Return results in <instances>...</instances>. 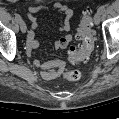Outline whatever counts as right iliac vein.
<instances>
[{
    "label": "right iliac vein",
    "mask_w": 119,
    "mask_h": 119,
    "mask_svg": "<svg viewBox=\"0 0 119 119\" xmlns=\"http://www.w3.org/2000/svg\"><path fill=\"white\" fill-rule=\"evenodd\" d=\"M19 24H20L21 32H22V33H25L26 30H27L26 23H25L23 20H21V21L19 22Z\"/></svg>",
    "instance_id": "63e3f726"
}]
</instances>
